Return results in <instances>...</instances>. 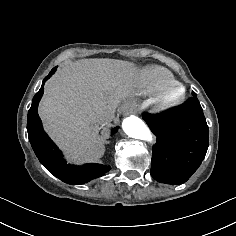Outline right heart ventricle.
<instances>
[{
  "instance_id": "obj_1",
  "label": "right heart ventricle",
  "mask_w": 236,
  "mask_h": 236,
  "mask_svg": "<svg viewBox=\"0 0 236 236\" xmlns=\"http://www.w3.org/2000/svg\"><path fill=\"white\" fill-rule=\"evenodd\" d=\"M144 74L142 94L147 96L157 97L164 88L177 83L174 75L161 67H150L144 71Z\"/></svg>"
}]
</instances>
